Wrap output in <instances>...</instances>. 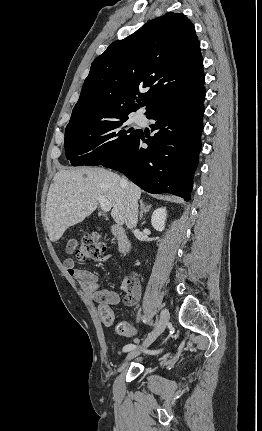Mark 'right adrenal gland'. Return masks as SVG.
<instances>
[{
    "label": "right adrenal gland",
    "instance_id": "right-adrenal-gland-1",
    "mask_svg": "<svg viewBox=\"0 0 262 431\" xmlns=\"http://www.w3.org/2000/svg\"><path fill=\"white\" fill-rule=\"evenodd\" d=\"M151 208V204L150 205H144L143 200H140V213H139V220L143 219V214L148 212Z\"/></svg>",
    "mask_w": 262,
    "mask_h": 431
}]
</instances>
